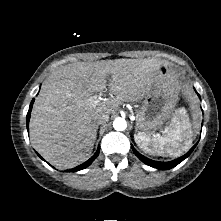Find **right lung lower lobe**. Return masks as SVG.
I'll return each mask as SVG.
<instances>
[{
	"instance_id": "1",
	"label": "right lung lower lobe",
	"mask_w": 221,
	"mask_h": 221,
	"mask_svg": "<svg viewBox=\"0 0 221 221\" xmlns=\"http://www.w3.org/2000/svg\"><path fill=\"white\" fill-rule=\"evenodd\" d=\"M33 103H34V99L32 100L30 107H29V111L27 113V129H29L28 126H29L30 114H31ZM99 149L100 148L97 149L96 153L88 161H86L85 163H83V164H81V165H79L69 171L76 172V171H79V170H82V169H85L86 167H88L93 162V160L98 156L99 151H100ZM38 156L41 159H43L39 154H38Z\"/></svg>"
}]
</instances>
